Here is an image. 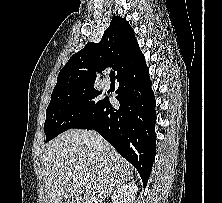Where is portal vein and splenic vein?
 Returning <instances> with one entry per match:
<instances>
[{
  "label": "portal vein and splenic vein",
  "instance_id": "18ae733b",
  "mask_svg": "<svg viewBox=\"0 0 222 203\" xmlns=\"http://www.w3.org/2000/svg\"><path fill=\"white\" fill-rule=\"evenodd\" d=\"M82 184H83L84 186H86V185H87V180H86V179L82 180Z\"/></svg>",
  "mask_w": 222,
  "mask_h": 203
}]
</instances>
